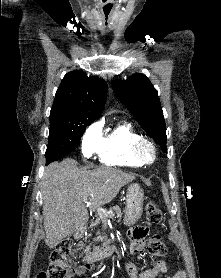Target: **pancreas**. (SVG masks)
I'll list each match as a JSON object with an SVG mask.
<instances>
[{
  "instance_id": "obj_1",
  "label": "pancreas",
  "mask_w": 221,
  "mask_h": 278,
  "mask_svg": "<svg viewBox=\"0 0 221 278\" xmlns=\"http://www.w3.org/2000/svg\"><path fill=\"white\" fill-rule=\"evenodd\" d=\"M110 211L112 212L110 215H106L102 210H99L98 211V214H99V216H100V218L99 219H95V222H93L91 225V229L94 231L95 229H97V227L99 226H101L102 225V222H106L107 221V218L108 217H114V215H116V218L118 219V221H120L121 220V218H122V211H121V208L120 207H118V206H114V207H112L111 209H110ZM84 246V244H82V247ZM81 247V248H82ZM89 250H90V247L89 246H87L85 249H84V253H88L89 252Z\"/></svg>"
}]
</instances>
